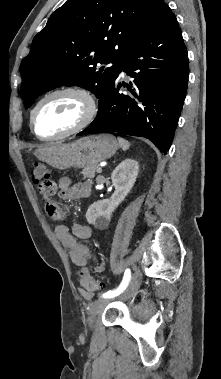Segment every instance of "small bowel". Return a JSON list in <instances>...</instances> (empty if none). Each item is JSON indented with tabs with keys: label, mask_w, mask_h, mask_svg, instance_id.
I'll return each instance as SVG.
<instances>
[{
	"label": "small bowel",
	"mask_w": 221,
	"mask_h": 379,
	"mask_svg": "<svg viewBox=\"0 0 221 379\" xmlns=\"http://www.w3.org/2000/svg\"><path fill=\"white\" fill-rule=\"evenodd\" d=\"M59 190L60 197L64 200H73L78 198H86L91 192V183L84 181L77 184H72L69 177H61L57 184L52 183V187L47 194H42L43 199L47 203V212L51 219H61V209L50 201V196ZM54 234L60 243L69 253L71 261L77 266H85L88 263L90 250L84 243L79 240L89 239L92 235V230L89 226L80 223H73L71 226L60 223L55 226ZM97 272L103 270V266L99 265L95 268ZM81 294L89 299L91 294L86 291H81Z\"/></svg>",
	"instance_id": "1"
}]
</instances>
